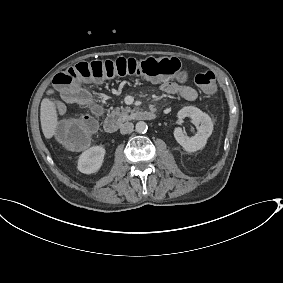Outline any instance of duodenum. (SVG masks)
I'll return each mask as SVG.
<instances>
[{"label": "duodenum", "mask_w": 283, "mask_h": 283, "mask_svg": "<svg viewBox=\"0 0 283 283\" xmlns=\"http://www.w3.org/2000/svg\"><path fill=\"white\" fill-rule=\"evenodd\" d=\"M138 118L141 120H155L157 118V114L152 111H143L138 114ZM120 125L119 118L117 116L111 115L107 116L104 120V128L107 133H115L118 131Z\"/></svg>", "instance_id": "410a0bca"}]
</instances>
